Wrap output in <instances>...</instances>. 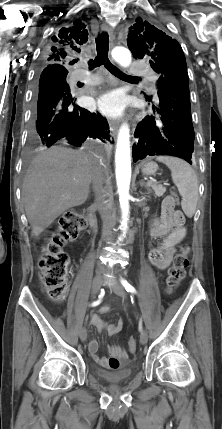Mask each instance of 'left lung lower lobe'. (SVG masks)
I'll list each match as a JSON object with an SVG mask.
<instances>
[{"label": "left lung lower lobe", "mask_w": 222, "mask_h": 429, "mask_svg": "<svg viewBox=\"0 0 222 429\" xmlns=\"http://www.w3.org/2000/svg\"><path fill=\"white\" fill-rule=\"evenodd\" d=\"M146 101L152 102L151 97ZM156 115H148L138 123L133 145V160L146 156L169 155L192 164L194 128L191 117L189 85L178 77H167L158 87Z\"/></svg>", "instance_id": "1"}]
</instances>
